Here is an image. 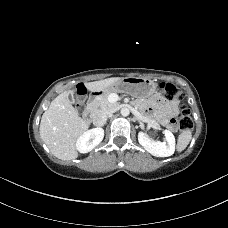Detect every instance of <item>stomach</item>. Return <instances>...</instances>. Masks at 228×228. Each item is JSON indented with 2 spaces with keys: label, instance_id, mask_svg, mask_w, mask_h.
<instances>
[{
  "label": "stomach",
  "instance_id": "stomach-1",
  "mask_svg": "<svg viewBox=\"0 0 228 228\" xmlns=\"http://www.w3.org/2000/svg\"><path fill=\"white\" fill-rule=\"evenodd\" d=\"M157 84L144 77H125L108 86L106 89L96 92L95 95H105L111 92L126 93L134 97L147 98L156 91Z\"/></svg>",
  "mask_w": 228,
  "mask_h": 228
}]
</instances>
